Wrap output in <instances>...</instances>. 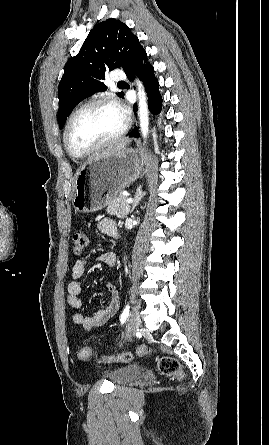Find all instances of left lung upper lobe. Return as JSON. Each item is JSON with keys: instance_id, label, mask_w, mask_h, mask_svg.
<instances>
[{"instance_id": "left-lung-upper-lobe-1", "label": "left lung upper lobe", "mask_w": 269, "mask_h": 445, "mask_svg": "<svg viewBox=\"0 0 269 445\" xmlns=\"http://www.w3.org/2000/svg\"><path fill=\"white\" fill-rule=\"evenodd\" d=\"M144 51L137 36L121 21L110 18L97 24L64 68L58 87L60 129L80 101L107 89L102 80L108 70L122 67L128 72Z\"/></svg>"}]
</instances>
